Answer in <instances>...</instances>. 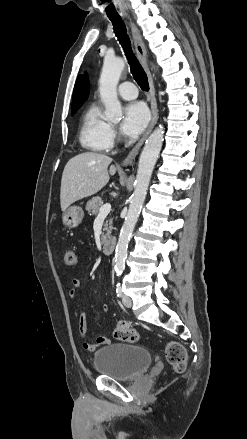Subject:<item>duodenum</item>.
I'll list each match as a JSON object with an SVG mask.
<instances>
[{"mask_svg": "<svg viewBox=\"0 0 247 439\" xmlns=\"http://www.w3.org/2000/svg\"><path fill=\"white\" fill-rule=\"evenodd\" d=\"M116 248V239L114 237H109L103 242V252L106 255H110L114 252Z\"/></svg>", "mask_w": 247, "mask_h": 439, "instance_id": "1", "label": "duodenum"}]
</instances>
